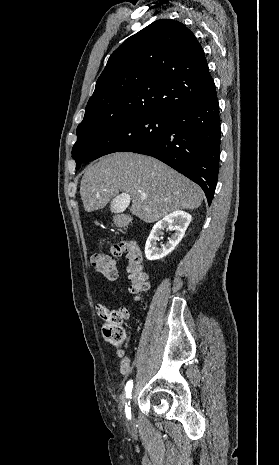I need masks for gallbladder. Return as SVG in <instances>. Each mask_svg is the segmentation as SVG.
I'll return each instance as SVG.
<instances>
[{
	"instance_id": "1",
	"label": "gallbladder",
	"mask_w": 279,
	"mask_h": 465,
	"mask_svg": "<svg viewBox=\"0 0 279 465\" xmlns=\"http://www.w3.org/2000/svg\"><path fill=\"white\" fill-rule=\"evenodd\" d=\"M128 200L126 198H122L121 196H118V198H114L112 201V208L114 212L121 213L123 212L126 207L128 206Z\"/></svg>"
}]
</instances>
